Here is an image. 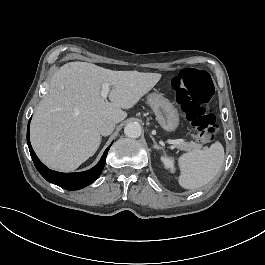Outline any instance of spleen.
<instances>
[{
  "mask_svg": "<svg viewBox=\"0 0 265 265\" xmlns=\"http://www.w3.org/2000/svg\"><path fill=\"white\" fill-rule=\"evenodd\" d=\"M179 184L185 189H196L209 183L224 162V148L215 142L209 148L195 149L179 157Z\"/></svg>",
  "mask_w": 265,
  "mask_h": 265,
  "instance_id": "1",
  "label": "spleen"
}]
</instances>
